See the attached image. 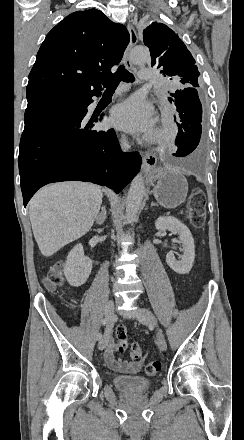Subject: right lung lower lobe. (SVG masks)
Wrapping results in <instances>:
<instances>
[{
	"label": "right lung lower lobe",
	"instance_id": "98d812e1",
	"mask_svg": "<svg viewBox=\"0 0 244 440\" xmlns=\"http://www.w3.org/2000/svg\"><path fill=\"white\" fill-rule=\"evenodd\" d=\"M93 92L80 101H28L18 157L24 206L42 186L69 180L92 182L120 192L140 170L136 153H122L113 129L85 125ZM102 121L96 117L92 122Z\"/></svg>",
	"mask_w": 244,
	"mask_h": 440
}]
</instances>
